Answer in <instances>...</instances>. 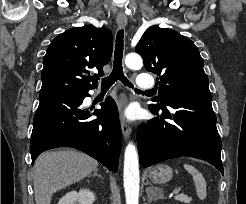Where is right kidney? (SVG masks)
Returning <instances> with one entry per match:
<instances>
[{"label": "right kidney", "mask_w": 246, "mask_h": 204, "mask_svg": "<svg viewBox=\"0 0 246 204\" xmlns=\"http://www.w3.org/2000/svg\"><path fill=\"white\" fill-rule=\"evenodd\" d=\"M96 197L89 189H81L79 192L70 191L64 195L58 204H93Z\"/></svg>", "instance_id": "ca27d5eb"}]
</instances>
